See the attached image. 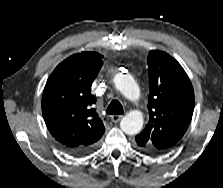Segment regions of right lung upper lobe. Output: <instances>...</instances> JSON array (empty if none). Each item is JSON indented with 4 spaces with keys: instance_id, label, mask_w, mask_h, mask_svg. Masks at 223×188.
Instances as JSON below:
<instances>
[{
    "instance_id": "obj_1",
    "label": "right lung upper lobe",
    "mask_w": 223,
    "mask_h": 188,
    "mask_svg": "<svg viewBox=\"0 0 223 188\" xmlns=\"http://www.w3.org/2000/svg\"><path fill=\"white\" fill-rule=\"evenodd\" d=\"M103 56L81 52L61 62L52 72L42 96V114L51 135L66 148H88L105 132L90 92Z\"/></svg>"
}]
</instances>
